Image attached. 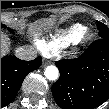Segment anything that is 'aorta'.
<instances>
[{"label": "aorta", "instance_id": "1", "mask_svg": "<svg viewBox=\"0 0 109 109\" xmlns=\"http://www.w3.org/2000/svg\"><path fill=\"white\" fill-rule=\"evenodd\" d=\"M44 74L48 80L53 81L58 78L59 70L56 66L50 65L46 67Z\"/></svg>", "mask_w": 109, "mask_h": 109}]
</instances>
